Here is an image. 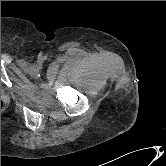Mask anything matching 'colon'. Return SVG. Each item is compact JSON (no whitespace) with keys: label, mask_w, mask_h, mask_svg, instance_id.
<instances>
[{"label":"colon","mask_w":166,"mask_h":166,"mask_svg":"<svg viewBox=\"0 0 166 166\" xmlns=\"http://www.w3.org/2000/svg\"><path fill=\"white\" fill-rule=\"evenodd\" d=\"M4 102L1 100V111L3 110Z\"/></svg>","instance_id":"1"}]
</instances>
